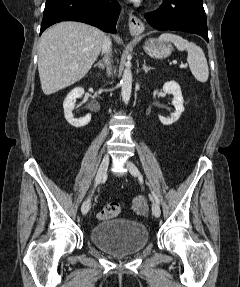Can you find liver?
<instances>
[{
    "instance_id": "obj_1",
    "label": "liver",
    "mask_w": 240,
    "mask_h": 287,
    "mask_svg": "<svg viewBox=\"0 0 240 287\" xmlns=\"http://www.w3.org/2000/svg\"><path fill=\"white\" fill-rule=\"evenodd\" d=\"M104 38L98 28L73 21L47 29L38 53L43 93L51 95L82 79L98 58Z\"/></svg>"
}]
</instances>
